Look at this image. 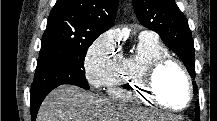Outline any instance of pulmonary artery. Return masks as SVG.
<instances>
[{
    "label": "pulmonary artery",
    "mask_w": 217,
    "mask_h": 121,
    "mask_svg": "<svg viewBox=\"0 0 217 121\" xmlns=\"http://www.w3.org/2000/svg\"><path fill=\"white\" fill-rule=\"evenodd\" d=\"M139 37L142 38H157L156 35L149 31H142L139 35Z\"/></svg>",
    "instance_id": "obj_1"
}]
</instances>
